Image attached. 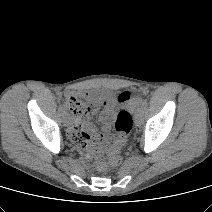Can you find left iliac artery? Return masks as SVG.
Wrapping results in <instances>:
<instances>
[{
    "mask_svg": "<svg viewBox=\"0 0 212 212\" xmlns=\"http://www.w3.org/2000/svg\"><path fill=\"white\" fill-rule=\"evenodd\" d=\"M147 105H148L147 99H144V100L142 101V103H141L142 108H143V109H146V108H147Z\"/></svg>",
    "mask_w": 212,
    "mask_h": 212,
    "instance_id": "left-iliac-artery-1",
    "label": "left iliac artery"
}]
</instances>
